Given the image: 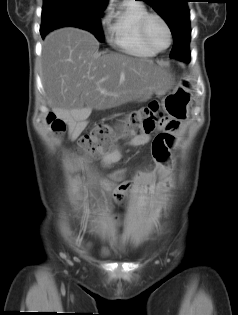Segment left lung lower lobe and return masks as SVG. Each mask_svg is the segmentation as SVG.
Here are the masks:
<instances>
[{
    "mask_svg": "<svg viewBox=\"0 0 238 315\" xmlns=\"http://www.w3.org/2000/svg\"><path fill=\"white\" fill-rule=\"evenodd\" d=\"M173 48L171 57L188 62L190 60L189 43L190 39L184 35H173Z\"/></svg>",
    "mask_w": 238,
    "mask_h": 315,
    "instance_id": "obj_1",
    "label": "left lung lower lobe"
}]
</instances>
